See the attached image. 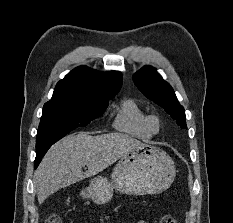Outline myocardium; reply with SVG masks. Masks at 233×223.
Masks as SVG:
<instances>
[{
	"label": "myocardium",
	"instance_id": "1",
	"mask_svg": "<svg viewBox=\"0 0 233 223\" xmlns=\"http://www.w3.org/2000/svg\"><path fill=\"white\" fill-rule=\"evenodd\" d=\"M147 127L152 134H158L163 130L164 123L160 115L151 114L147 117Z\"/></svg>",
	"mask_w": 233,
	"mask_h": 223
}]
</instances>
